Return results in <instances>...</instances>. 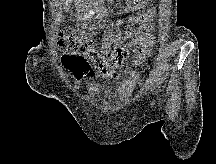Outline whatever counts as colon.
I'll use <instances>...</instances> for the list:
<instances>
[{
  "label": "colon",
  "mask_w": 216,
  "mask_h": 164,
  "mask_svg": "<svg viewBox=\"0 0 216 164\" xmlns=\"http://www.w3.org/2000/svg\"><path fill=\"white\" fill-rule=\"evenodd\" d=\"M58 44L66 52L62 58V63L66 69L77 78L91 75L92 72L87 59L80 55L81 53H86L93 47L89 40L75 34L61 32L59 34ZM96 64L103 69L102 62L99 58L96 59Z\"/></svg>",
  "instance_id": "colon-1"
}]
</instances>
